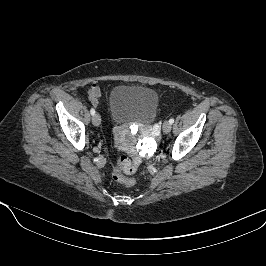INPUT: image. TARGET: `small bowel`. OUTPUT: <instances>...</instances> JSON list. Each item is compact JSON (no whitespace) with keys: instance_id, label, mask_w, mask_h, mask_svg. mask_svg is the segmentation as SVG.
Instances as JSON below:
<instances>
[{"instance_id":"c3829d8e","label":"small bowel","mask_w":266,"mask_h":266,"mask_svg":"<svg viewBox=\"0 0 266 266\" xmlns=\"http://www.w3.org/2000/svg\"><path fill=\"white\" fill-rule=\"evenodd\" d=\"M89 99L93 105L98 104V99L101 95V89L98 85H93L89 90Z\"/></svg>"}]
</instances>
